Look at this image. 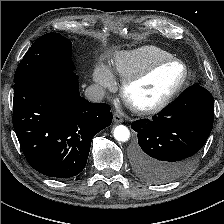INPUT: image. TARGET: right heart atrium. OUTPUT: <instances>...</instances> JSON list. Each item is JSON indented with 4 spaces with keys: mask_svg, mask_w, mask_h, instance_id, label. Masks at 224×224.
<instances>
[{
    "mask_svg": "<svg viewBox=\"0 0 224 224\" xmlns=\"http://www.w3.org/2000/svg\"><path fill=\"white\" fill-rule=\"evenodd\" d=\"M93 80L103 89L112 88L115 85V78L111 70L104 66L99 65L93 73Z\"/></svg>",
    "mask_w": 224,
    "mask_h": 224,
    "instance_id": "obj_1",
    "label": "right heart atrium"
}]
</instances>
